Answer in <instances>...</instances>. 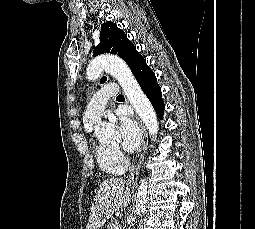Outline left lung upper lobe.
<instances>
[{"label":"left lung upper lobe","instance_id":"obj_1","mask_svg":"<svg viewBox=\"0 0 255 229\" xmlns=\"http://www.w3.org/2000/svg\"><path fill=\"white\" fill-rule=\"evenodd\" d=\"M104 53L118 55L128 64L131 71L142 57L132 42L127 39L125 32L111 21L101 25L99 41L94 49L93 56ZM105 81L106 77H103L100 82L104 83Z\"/></svg>","mask_w":255,"mask_h":229}]
</instances>
